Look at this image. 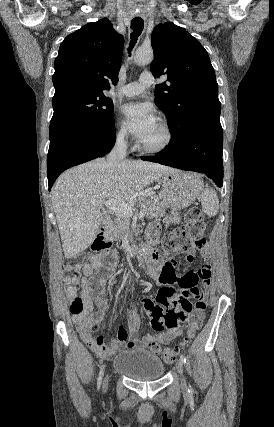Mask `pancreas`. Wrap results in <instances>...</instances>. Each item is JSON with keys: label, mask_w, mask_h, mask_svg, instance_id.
<instances>
[{"label": "pancreas", "mask_w": 274, "mask_h": 427, "mask_svg": "<svg viewBox=\"0 0 274 427\" xmlns=\"http://www.w3.org/2000/svg\"><path fill=\"white\" fill-rule=\"evenodd\" d=\"M139 208L146 210V217L152 219V217H159V215L165 214V208L167 204L160 202L159 196H150V200L147 198H138ZM129 223L130 215L115 214L114 219H108L105 225L104 237L106 239H121L124 235H129Z\"/></svg>", "instance_id": "obj_1"}]
</instances>
